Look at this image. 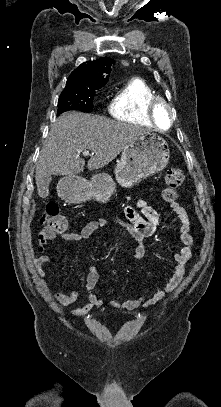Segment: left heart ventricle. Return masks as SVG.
Instances as JSON below:
<instances>
[{"instance_id": "left-heart-ventricle-1", "label": "left heart ventricle", "mask_w": 221, "mask_h": 407, "mask_svg": "<svg viewBox=\"0 0 221 407\" xmlns=\"http://www.w3.org/2000/svg\"><path fill=\"white\" fill-rule=\"evenodd\" d=\"M169 122V114L168 111L162 107L159 108L157 111V124L160 128L166 129Z\"/></svg>"}]
</instances>
